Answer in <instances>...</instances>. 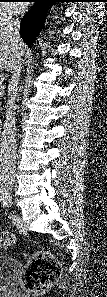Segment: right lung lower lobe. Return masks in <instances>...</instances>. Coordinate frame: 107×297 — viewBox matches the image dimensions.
<instances>
[{
	"mask_svg": "<svg viewBox=\"0 0 107 297\" xmlns=\"http://www.w3.org/2000/svg\"><path fill=\"white\" fill-rule=\"evenodd\" d=\"M35 2V6L23 17L20 25V35L29 47L33 45L45 22L47 8L60 0H35Z\"/></svg>",
	"mask_w": 107,
	"mask_h": 297,
	"instance_id": "1",
	"label": "right lung lower lobe"
}]
</instances>
